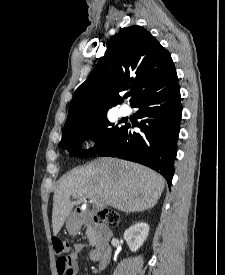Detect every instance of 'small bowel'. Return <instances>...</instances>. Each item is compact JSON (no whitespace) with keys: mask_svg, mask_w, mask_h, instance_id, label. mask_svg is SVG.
<instances>
[{"mask_svg":"<svg viewBox=\"0 0 225 275\" xmlns=\"http://www.w3.org/2000/svg\"><path fill=\"white\" fill-rule=\"evenodd\" d=\"M85 248L84 243H77L74 245L73 251L70 253L68 257V261L70 263L71 272L70 275H75L79 271L80 268V253Z\"/></svg>","mask_w":225,"mask_h":275,"instance_id":"c3829d8e","label":"small bowel"}]
</instances>
